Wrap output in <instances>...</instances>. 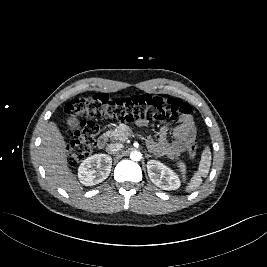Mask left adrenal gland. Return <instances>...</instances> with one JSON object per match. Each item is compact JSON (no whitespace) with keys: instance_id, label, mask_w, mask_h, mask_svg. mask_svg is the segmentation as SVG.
<instances>
[{"instance_id":"left-adrenal-gland-1","label":"left adrenal gland","mask_w":267,"mask_h":267,"mask_svg":"<svg viewBox=\"0 0 267 267\" xmlns=\"http://www.w3.org/2000/svg\"><path fill=\"white\" fill-rule=\"evenodd\" d=\"M146 157H147V158H148V157H152V155L147 154Z\"/></svg>"}]
</instances>
